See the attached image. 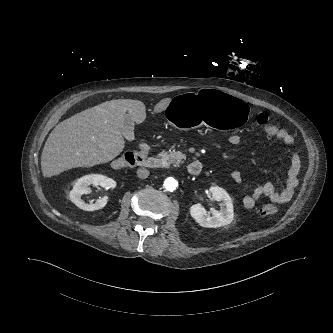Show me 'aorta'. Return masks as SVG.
I'll use <instances>...</instances> for the list:
<instances>
[{
    "label": "aorta",
    "mask_w": 333,
    "mask_h": 333,
    "mask_svg": "<svg viewBox=\"0 0 333 333\" xmlns=\"http://www.w3.org/2000/svg\"><path fill=\"white\" fill-rule=\"evenodd\" d=\"M178 186V182L173 177H168L164 181V187L168 191H173Z\"/></svg>",
    "instance_id": "aorta-1"
}]
</instances>
